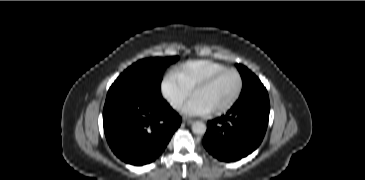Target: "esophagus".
<instances>
[{
	"mask_svg": "<svg viewBox=\"0 0 365 180\" xmlns=\"http://www.w3.org/2000/svg\"><path fill=\"white\" fill-rule=\"evenodd\" d=\"M183 123H185V124H187V125H190V124H192V123H193V120L184 118V119H183Z\"/></svg>",
	"mask_w": 365,
	"mask_h": 180,
	"instance_id": "34e87169",
	"label": "esophagus"
}]
</instances>
